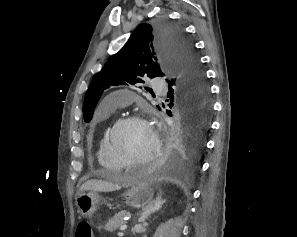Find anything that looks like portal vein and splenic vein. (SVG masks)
<instances>
[{
	"label": "portal vein and splenic vein",
	"instance_id": "18ae733b",
	"mask_svg": "<svg viewBox=\"0 0 297 237\" xmlns=\"http://www.w3.org/2000/svg\"><path fill=\"white\" fill-rule=\"evenodd\" d=\"M127 229V224H123L121 227H120V231H124Z\"/></svg>",
	"mask_w": 297,
	"mask_h": 237
}]
</instances>
